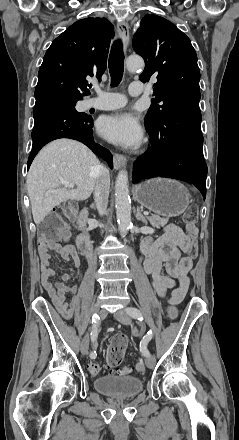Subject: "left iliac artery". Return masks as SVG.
I'll use <instances>...</instances> for the list:
<instances>
[{"instance_id": "1", "label": "left iliac artery", "mask_w": 239, "mask_h": 440, "mask_svg": "<svg viewBox=\"0 0 239 440\" xmlns=\"http://www.w3.org/2000/svg\"><path fill=\"white\" fill-rule=\"evenodd\" d=\"M126 312L128 315H130L134 319H137L139 321L143 320V315H142L141 311L138 310L137 308L128 307V308H126ZM152 337H153V332H152V330H149L140 342V351L146 357H148L150 355V353L147 349V345H148L149 341L152 339Z\"/></svg>"}]
</instances>
